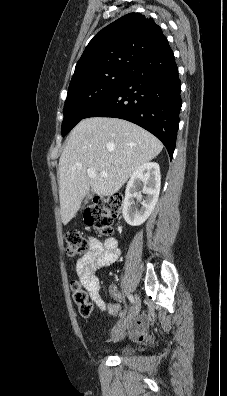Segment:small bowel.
<instances>
[{"mask_svg": "<svg viewBox=\"0 0 227 396\" xmlns=\"http://www.w3.org/2000/svg\"><path fill=\"white\" fill-rule=\"evenodd\" d=\"M120 251L117 247L115 239H108L101 243L97 239L90 238V250L87 254L77 261L76 271L81 284L89 292L92 300L101 309L106 306L123 320L126 318V311L119 303L107 305L100 296L101 285L98 277V272L111 264H113L119 257ZM110 296L116 301L120 302L123 297L116 286H112L109 290ZM149 323L147 315H141L131 321L129 324V334L131 337L142 340L145 337V329ZM119 329L115 327L112 333L117 336Z\"/></svg>", "mask_w": 227, "mask_h": 396, "instance_id": "obj_1", "label": "small bowel"}]
</instances>
